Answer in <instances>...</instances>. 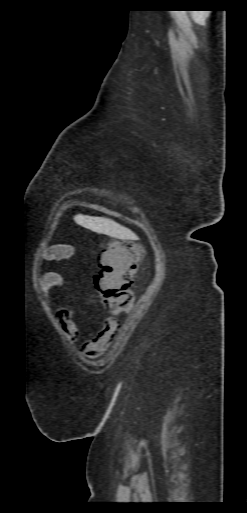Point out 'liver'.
Returning a JSON list of instances; mask_svg holds the SVG:
<instances>
[{
	"label": "liver",
	"mask_w": 247,
	"mask_h": 513,
	"mask_svg": "<svg viewBox=\"0 0 247 513\" xmlns=\"http://www.w3.org/2000/svg\"><path fill=\"white\" fill-rule=\"evenodd\" d=\"M74 221L93 232L118 239H132L135 236L131 230L109 218L77 214L74 216Z\"/></svg>",
	"instance_id": "1"
}]
</instances>
